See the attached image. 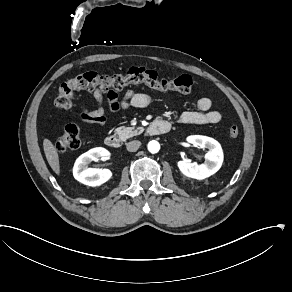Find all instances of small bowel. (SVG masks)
Here are the masks:
<instances>
[{"label":"small bowel","mask_w":292,"mask_h":292,"mask_svg":"<svg viewBox=\"0 0 292 292\" xmlns=\"http://www.w3.org/2000/svg\"><path fill=\"white\" fill-rule=\"evenodd\" d=\"M92 98L95 102V108L89 109L81 104L79 117L87 124L100 127L107 125V110L118 113L130 108H145L151 103V96L148 93L135 90H128L120 97L114 89L104 91L95 87L92 90ZM221 119L222 114L218 110L212 109V102L207 97H202L197 101L196 110L185 111L178 117V121L184 124H216Z\"/></svg>","instance_id":"small-bowel-1"}]
</instances>
